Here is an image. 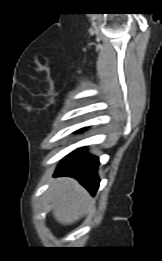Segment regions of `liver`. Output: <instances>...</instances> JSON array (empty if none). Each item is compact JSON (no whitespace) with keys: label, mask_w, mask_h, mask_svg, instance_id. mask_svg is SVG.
<instances>
[{"label":"liver","mask_w":162,"mask_h":261,"mask_svg":"<svg viewBox=\"0 0 162 261\" xmlns=\"http://www.w3.org/2000/svg\"><path fill=\"white\" fill-rule=\"evenodd\" d=\"M54 218L63 225L80 220L92 207L87 191L72 178H59L50 188Z\"/></svg>","instance_id":"1"}]
</instances>
